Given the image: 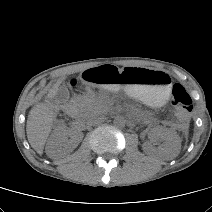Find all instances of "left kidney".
<instances>
[{
  "label": "left kidney",
  "instance_id": "5707ae66",
  "mask_svg": "<svg viewBox=\"0 0 212 212\" xmlns=\"http://www.w3.org/2000/svg\"><path fill=\"white\" fill-rule=\"evenodd\" d=\"M151 132L152 136L154 138H160L163 144L158 149H154L151 144L145 143L143 145L145 153L151 154L157 152L166 160L173 159L179 154L181 141L176 132L163 127L155 128Z\"/></svg>",
  "mask_w": 212,
  "mask_h": 212
}]
</instances>
